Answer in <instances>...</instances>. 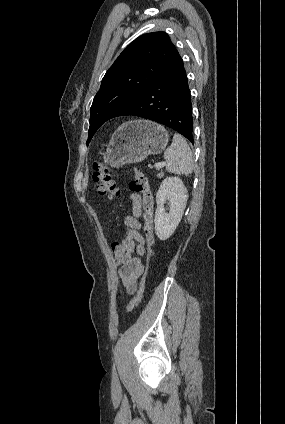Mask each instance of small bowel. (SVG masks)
Returning <instances> with one entry per match:
<instances>
[{"label":"small bowel","instance_id":"c3829d8e","mask_svg":"<svg viewBox=\"0 0 285 424\" xmlns=\"http://www.w3.org/2000/svg\"><path fill=\"white\" fill-rule=\"evenodd\" d=\"M130 201L132 213L124 218V234L127 238L135 242L133 250L134 256L119 263L118 276L122 286L129 294H134L138 288V279L144 272L141 257L145 253L144 238L140 233L141 224L139 218L143 214L141 198L138 194H131Z\"/></svg>","mask_w":285,"mask_h":424}]
</instances>
